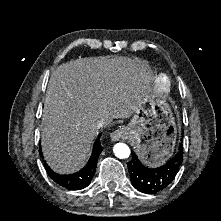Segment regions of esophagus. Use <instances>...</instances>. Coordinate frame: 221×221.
Returning a JSON list of instances; mask_svg holds the SVG:
<instances>
[{
	"instance_id": "esophagus-1",
	"label": "esophagus",
	"mask_w": 221,
	"mask_h": 221,
	"mask_svg": "<svg viewBox=\"0 0 221 221\" xmlns=\"http://www.w3.org/2000/svg\"><path fill=\"white\" fill-rule=\"evenodd\" d=\"M110 138L112 141L127 140L130 135L124 128H119L110 134Z\"/></svg>"
}]
</instances>
